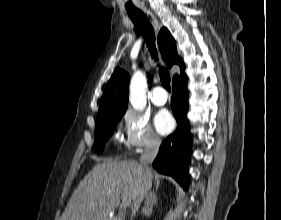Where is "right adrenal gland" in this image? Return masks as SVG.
Listing matches in <instances>:
<instances>
[{
	"label": "right adrenal gland",
	"mask_w": 281,
	"mask_h": 220,
	"mask_svg": "<svg viewBox=\"0 0 281 220\" xmlns=\"http://www.w3.org/2000/svg\"><path fill=\"white\" fill-rule=\"evenodd\" d=\"M158 204V198L154 193H150L149 196L147 197V200L145 202V205L142 209V213L149 217L152 213L153 206Z\"/></svg>",
	"instance_id": "right-adrenal-gland-1"
}]
</instances>
